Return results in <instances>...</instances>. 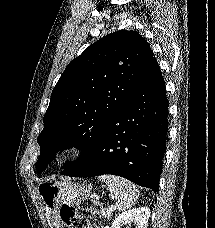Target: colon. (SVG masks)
<instances>
[{
    "instance_id": "colon-1",
    "label": "colon",
    "mask_w": 215,
    "mask_h": 228,
    "mask_svg": "<svg viewBox=\"0 0 215 228\" xmlns=\"http://www.w3.org/2000/svg\"><path fill=\"white\" fill-rule=\"evenodd\" d=\"M101 204L93 197H84L80 200L78 209L68 203L61 205L59 216L68 228H94L86 214H98Z\"/></svg>"
}]
</instances>
